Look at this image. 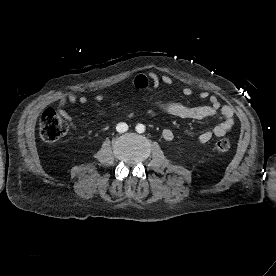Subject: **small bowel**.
<instances>
[{
	"instance_id": "obj_1",
	"label": "small bowel",
	"mask_w": 276,
	"mask_h": 276,
	"mask_svg": "<svg viewBox=\"0 0 276 276\" xmlns=\"http://www.w3.org/2000/svg\"><path fill=\"white\" fill-rule=\"evenodd\" d=\"M160 84L166 86H171L173 80L167 75L159 76L154 72L139 73L134 78V85L139 89H146L149 86L158 87ZM182 94L185 97H189L193 94V91L189 87H185L182 90ZM199 98L202 100L208 99V105H197L189 106L179 102H157L156 108L170 116L181 118V119H191V120H201L208 117L221 114L223 120L218 123L213 129L206 130L200 133L198 140L201 143H207L212 139V137H222L226 135L234 126L235 114L231 107L227 105H222L217 97L210 95L207 91H203L199 94ZM104 99V95L98 94L95 96L97 102H101ZM87 98L85 96H77L74 93L62 96L58 102V112L65 118L73 127V119L70 114L65 110L67 103L75 104H85ZM162 137L166 141H171L174 138V133L170 129H164L162 131Z\"/></svg>"
}]
</instances>
